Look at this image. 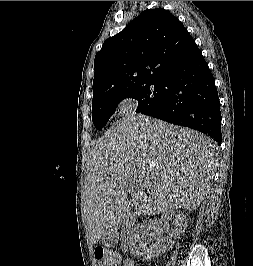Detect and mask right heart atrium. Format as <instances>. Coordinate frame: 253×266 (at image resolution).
Segmentation results:
<instances>
[{"mask_svg": "<svg viewBox=\"0 0 253 266\" xmlns=\"http://www.w3.org/2000/svg\"><path fill=\"white\" fill-rule=\"evenodd\" d=\"M139 101L132 96L122 98L118 103V112L120 114H128L137 109Z\"/></svg>", "mask_w": 253, "mask_h": 266, "instance_id": "d8ad5b80", "label": "right heart atrium"}]
</instances>
